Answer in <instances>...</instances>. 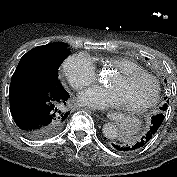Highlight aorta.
<instances>
[{"mask_svg": "<svg viewBox=\"0 0 177 177\" xmlns=\"http://www.w3.org/2000/svg\"><path fill=\"white\" fill-rule=\"evenodd\" d=\"M102 132L108 139H115L118 134V128L113 123H107L103 126Z\"/></svg>", "mask_w": 177, "mask_h": 177, "instance_id": "762f6f07", "label": "aorta"}]
</instances>
